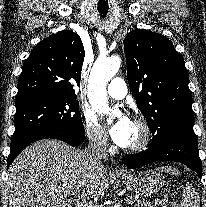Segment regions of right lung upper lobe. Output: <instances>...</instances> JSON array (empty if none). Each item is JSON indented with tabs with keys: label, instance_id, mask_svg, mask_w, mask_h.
Returning <instances> with one entry per match:
<instances>
[{
	"label": "right lung upper lobe",
	"instance_id": "obj_1",
	"mask_svg": "<svg viewBox=\"0 0 206 207\" xmlns=\"http://www.w3.org/2000/svg\"><path fill=\"white\" fill-rule=\"evenodd\" d=\"M84 56L81 38L73 31L43 39L23 64L15 100L42 94L76 97L73 87L80 84Z\"/></svg>",
	"mask_w": 206,
	"mask_h": 207
}]
</instances>
